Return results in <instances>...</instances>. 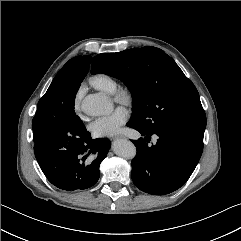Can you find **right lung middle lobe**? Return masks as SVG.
Here are the masks:
<instances>
[{
	"mask_svg": "<svg viewBox=\"0 0 241 241\" xmlns=\"http://www.w3.org/2000/svg\"><path fill=\"white\" fill-rule=\"evenodd\" d=\"M78 89L69 79L56 80L38 102L32 121L33 133L51 150L75 147L89 134L74 111Z\"/></svg>",
	"mask_w": 241,
	"mask_h": 241,
	"instance_id": "1",
	"label": "right lung middle lobe"
}]
</instances>
